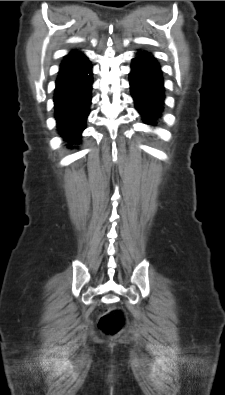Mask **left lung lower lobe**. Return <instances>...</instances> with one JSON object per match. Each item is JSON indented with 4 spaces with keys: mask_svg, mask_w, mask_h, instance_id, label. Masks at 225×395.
I'll return each instance as SVG.
<instances>
[{
    "mask_svg": "<svg viewBox=\"0 0 225 395\" xmlns=\"http://www.w3.org/2000/svg\"><path fill=\"white\" fill-rule=\"evenodd\" d=\"M129 81L136 110L145 124L155 126L165 101L163 72L156 58L140 54L133 58Z\"/></svg>",
    "mask_w": 225,
    "mask_h": 395,
    "instance_id": "obj_1",
    "label": "left lung lower lobe"
}]
</instances>
